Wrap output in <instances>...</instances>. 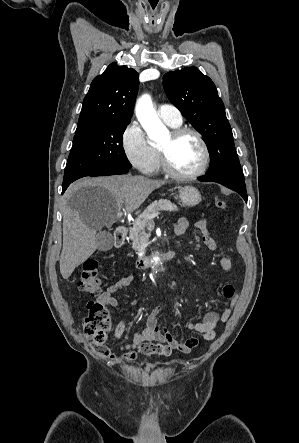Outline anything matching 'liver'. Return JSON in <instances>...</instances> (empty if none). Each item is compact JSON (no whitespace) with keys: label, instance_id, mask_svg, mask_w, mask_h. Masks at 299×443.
<instances>
[{"label":"liver","instance_id":"liver-1","mask_svg":"<svg viewBox=\"0 0 299 443\" xmlns=\"http://www.w3.org/2000/svg\"><path fill=\"white\" fill-rule=\"evenodd\" d=\"M165 184L163 180L128 175L85 178L65 194L63 214V248L60 272L68 279L76 267L97 249V230L115 221L123 204L127 213L137 210L147 197ZM84 188V199L74 195Z\"/></svg>","mask_w":299,"mask_h":443}]
</instances>
